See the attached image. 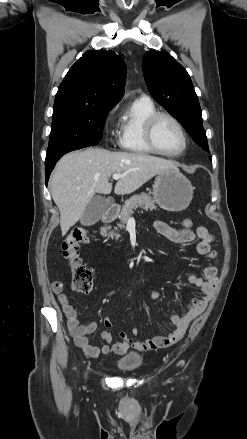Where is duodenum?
I'll list each match as a JSON object with an SVG mask.
<instances>
[{
  "mask_svg": "<svg viewBox=\"0 0 247 439\" xmlns=\"http://www.w3.org/2000/svg\"><path fill=\"white\" fill-rule=\"evenodd\" d=\"M119 211V207L117 204L112 203L108 209L105 211V213L103 214L101 221L103 223H108L110 221H112L118 214Z\"/></svg>",
  "mask_w": 247,
  "mask_h": 439,
  "instance_id": "duodenum-1",
  "label": "duodenum"
}]
</instances>
